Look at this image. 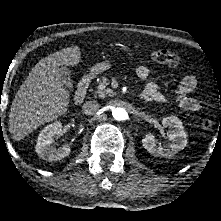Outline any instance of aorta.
I'll return each instance as SVG.
<instances>
[{
	"mask_svg": "<svg viewBox=\"0 0 221 221\" xmlns=\"http://www.w3.org/2000/svg\"><path fill=\"white\" fill-rule=\"evenodd\" d=\"M112 115H113L114 119L118 120V121H123L128 116L126 110L122 107L114 108V110L112 111Z\"/></svg>",
	"mask_w": 221,
	"mask_h": 221,
	"instance_id": "obj_1",
	"label": "aorta"
}]
</instances>
